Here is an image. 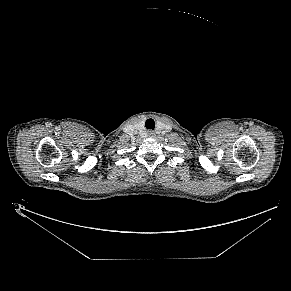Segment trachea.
I'll use <instances>...</instances> for the list:
<instances>
[{
  "mask_svg": "<svg viewBox=\"0 0 291 291\" xmlns=\"http://www.w3.org/2000/svg\"><path fill=\"white\" fill-rule=\"evenodd\" d=\"M145 126L147 129H151L153 130L155 128V122L153 119H147L146 122H145Z\"/></svg>",
  "mask_w": 291,
  "mask_h": 291,
  "instance_id": "obj_1",
  "label": "trachea"
}]
</instances>
